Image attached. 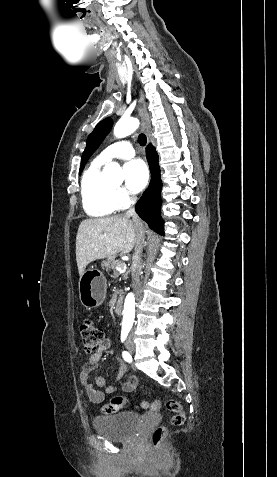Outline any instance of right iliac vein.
<instances>
[{"label":"right iliac vein","instance_id":"right-iliac-vein-1","mask_svg":"<svg viewBox=\"0 0 277 477\" xmlns=\"http://www.w3.org/2000/svg\"><path fill=\"white\" fill-rule=\"evenodd\" d=\"M126 347H127V349H128L130 352H133V351H134V346H133V344L127 343V344H126Z\"/></svg>","mask_w":277,"mask_h":477}]
</instances>
